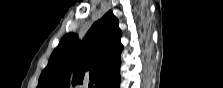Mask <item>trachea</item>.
I'll return each instance as SVG.
<instances>
[{"instance_id": "1", "label": "trachea", "mask_w": 223, "mask_h": 88, "mask_svg": "<svg viewBox=\"0 0 223 88\" xmlns=\"http://www.w3.org/2000/svg\"><path fill=\"white\" fill-rule=\"evenodd\" d=\"M92 87H93V83L90 82V83H89V88H92Z\"/></svg>"}]
</instances>
